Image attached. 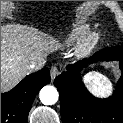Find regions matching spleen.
Instances as JSON below:
<instances>
[{
  "label": "spleen",
  "instance_id": "1",
  "mask_svg": "<svg viewBox=\"0 0 123 123\" xmlns=\"http://www.w3.org/2000/svg\"><path fill=\"white\" fill-rule=\"evenodd\" d=\"M83 81L90 92L97 97H107L113 90L110 79L97 71L87 73Z\"/></svg>",
  "mask_w": 123,
  "mask_h": 123
}]
</instances>
